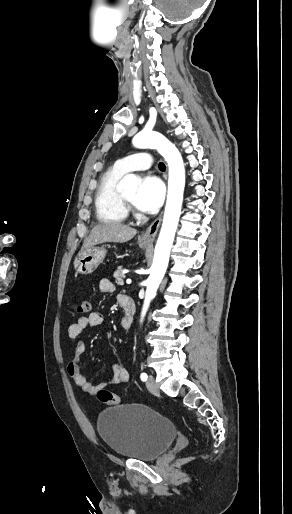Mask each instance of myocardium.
<instances>
[{"label":"myocardium","mask_w":292,"mask_h":514,"mask_svg":"<svg viewBox=\"0 0 292 514\" xmlns=\"http://www.w3.org/2000/svg\"><path fill=\"white\" fill-rule=\"evenodd\" d=\"M117 200L121 208L127 213V214H135L136 213V207L134 204L129 202L125 196L122 194L121 191L117 192Z\"/></svg>","instance_id":"myocardium-1"}]
</instances>
